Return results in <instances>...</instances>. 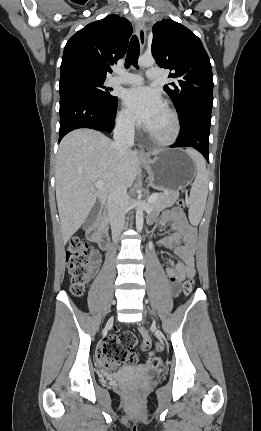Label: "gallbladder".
<instances>
[{"label": "gallbladder", "mask_w": 261, "mask_h": 431, "mask_svg": "<svg viewBox=\"0 0 261 431\" xmlns=\"http://www.w3.org/2000/svg\"><path fill=\"white\" fill-rule=\"evenodd\" d=\"M99 209H100V203L96 202L85 221V224H84L85 228L90 227L95 222Z\"/></svg>", "instance_id": "obj_1"}]
</instances>
